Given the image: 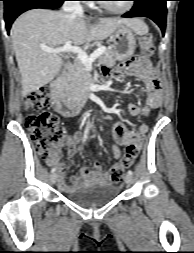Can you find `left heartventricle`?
<instances>
[{"label": "left heart ventricle", "mask_w": 194, "mask_h": 253, "mask_svg": "<svg viewBox=\"0 0 194 253\" xmlns=\"http://www.w3.org/2000/svg\"><path fill=\"white\" fill-rule=\"evenodd\" d=\"M106 4L113 8H123L127 4V2L126 1H109V2H106Z\"/></svg>", "instance_id": "obj_1"}]
</instances>
